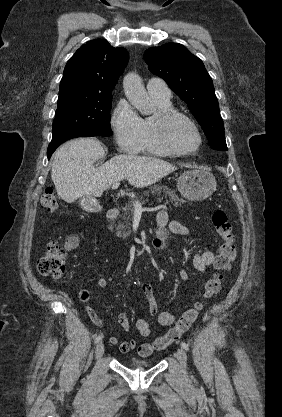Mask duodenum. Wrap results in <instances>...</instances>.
I'll use <instances>...</instances> for the list:
<instances>
[{
    "label": "duodenum",
    "mask_w": 282,
    "mask_h": 417,
    "mask_svg": "<svg viewBox=\"0 0 282 417\" xmlns=\"http://www.w3.org/2000/svg\"><path fill=\"white\" fill-rule=\"evenodd\" d=\"M119 215V209L117 207H112L109 209V211L107 212V219L108 220H113L115 219L117 216ZM163 246L162 243L159 244V248H161Z\"/></svg>",
    "instance_id": "1"
}]
</instances>
